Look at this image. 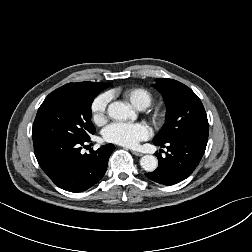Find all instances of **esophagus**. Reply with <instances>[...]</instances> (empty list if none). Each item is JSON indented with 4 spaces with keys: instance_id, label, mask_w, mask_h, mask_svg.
<instances>
[{
    "instance_id": "obj_1",
    "label": "esophagus",
    "mask_w": 252,
    "mask_h": 252,
    "mask_svg": "<svg viewBox=\"0 0 252 252\" xmlns=\"http://www.w3.org/2000/svg\"><path fill=\"white\" fill-rule=\"evenodd\" d=\"M131 152L136 155V156H143L142 153L138 152V151H135V150H131Z\"/></svg>"
}]
</instances>
